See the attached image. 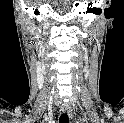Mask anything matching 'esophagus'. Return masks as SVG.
Wrapping results in <instances>:
<instances>
[{"mask_svg": "<svg viewBox=\"0 0 124 123\" xmlns=\"http://www.w3.org/2000/svg\"><path fill=\"white\" fill-rule=\"evenodd\" d=\"M61 110H62L63 113H67L68 116L70 118H72V112H71V110H70L68 105H64Z\"/></svg>", "mask_w": 124, "mask_h": 123, "instance_id": "34e87169", "label": "esophagus"}]
</instances>
